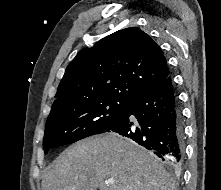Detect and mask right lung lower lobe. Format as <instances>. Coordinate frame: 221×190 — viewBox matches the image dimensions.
<instances>
[{
  "mask_svg": "<svg viewBox=\"0 0 221 190\" xmlns=\"http://www.w3.org/2000/svg\"><path fill=\"white\" fill-rule=\"evenodd\" d=\"M116 132L179 168L184 156L183 120L171 77L126 103L121 120L106 132Z\"/></svg>",
  "mask_w": 221,
  "mask_h": 190,
  "instance_id": "1",
  "label": "right lung lower lobe"
}]
</instances>
